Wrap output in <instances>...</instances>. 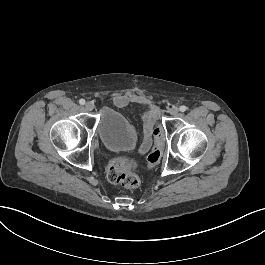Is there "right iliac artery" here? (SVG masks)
Masks as SVG:
<instances>
[{"mask_svg":"<svg viewBox=\"0 0 265 265\" xmlns=\"http://www.w3.org/2000/svg\"><path fill=\"white\" fill-rule=\"evenodd\" d=\"M79 103H80L81 105H84V104H85V100H84V99H80V100H79Z\"/></svg>","mask_w":265,"mask_h":265,"instance_id":"82829eb1","label":"right iliac artery"}]
</instances>
